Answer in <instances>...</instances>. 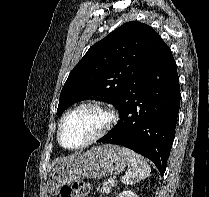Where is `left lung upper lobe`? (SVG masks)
I'll return each mask as SVG.
<instances>
[{
	"label": "left lung upper lobe",
	"instance_id": "1",
	"mask_svg": "<svg viewBox=\"0 0 209 197\" xmlns=\"http://www.w3.org/2000/svg\"><path fill=\"white\" fill-rule=\"evenodd\" d=\"M164 46L146 24L132 21L118 27L90 47L70 72L57 113L89 96H103L117 108Z\"/></svg>",
	"mask_w": 209,
	"mask_h": 197
}]
</instances>
